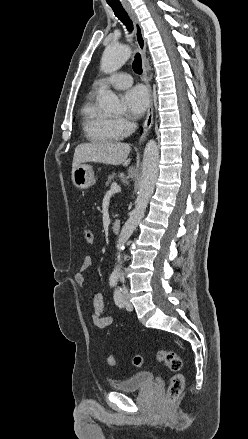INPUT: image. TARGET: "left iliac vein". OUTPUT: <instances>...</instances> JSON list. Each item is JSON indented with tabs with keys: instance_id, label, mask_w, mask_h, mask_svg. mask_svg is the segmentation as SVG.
Here are the masks:
<instances>
[{
	"instance_id": "left-iliac-vein-1",
	"label": "left iliac vein",
	"mask_w": 248,
	"mask_h": 439,
	"mask_svg": "<svg viewBox=\"0 0 248 439\" xmlns=\"http://www.w3.org/2000/svg\"><path fill=\"white\" fill-rule=\"evenodd\" d=\"M123 305H124L125 308H126L127 310H129V311L133 309V306H132V304H131V302H130V300H129L128 293H124V294H123Z\"/></svg>"
}]
</instances>
